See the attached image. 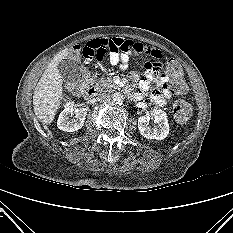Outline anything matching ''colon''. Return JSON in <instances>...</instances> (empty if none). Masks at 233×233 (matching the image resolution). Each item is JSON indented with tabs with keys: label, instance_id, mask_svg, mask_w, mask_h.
Here are the masks:
<instances>
[{
	"label": "colon",
	"instance_id": "colon-1",
	"mask_svg": "<svg viewBox=\"0 0 233 233\" xmlns=\"http://www.w3.org/2000/svg\"><path fill=\"white\" fill-rule=\"evenodd\" d=\"M167 70L171 76L168 82V87L176 94L182 95L187 91V85L183 78L181 65L176 60H169L167 63ZM89 81L87 74L83 75V79L79 82L71 84V89L77 93L82 94ZM192 114V106L185 100H177L173 105V115L179 122L187 121Z\"/></svg>",
	"mask_w": 233,
	"mask_h": 233
}]
</instances>
